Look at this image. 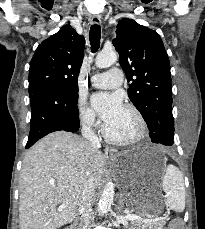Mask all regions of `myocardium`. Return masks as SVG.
Segmentation results:
<instances>
[{"instance_id": "1", "label": "myocardium", "mask_w": 205, "mask_h": 229, "mask_svg": "<svg viewBox=\"0 0 205 229\" xmlns=\"http://www.w3.org/2000/svg\"><path fill=\"white\" fill-rule=\"evenodd\" d=\"M125 109L128 110L130 113H132L133 116L135 117L136 122H137V130L130 137L119 138V137L112 136L108 132V130L106 128V125L103 126V128H102L103 136L108 142H110L112 144H116V145H131V144L139 142L144 137V135L146 133V122H145V119H144L142 113L139 111V109L136 108L132 104H127L125 106Z\"/></svg>"}]
</instances>
